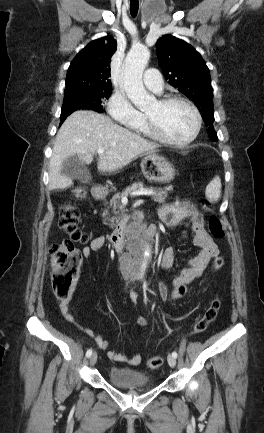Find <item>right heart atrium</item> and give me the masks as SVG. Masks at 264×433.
I'll return each mask as SVG.
<instances>
[{"label": "right heart atrium", "instance_id": "d8ad5b80", "mask_svg": "<svg viewBox=\"0 0 264 433\" xmlns=\"http://www.w3.org/2000/svg\"><path fill=\"white\" fill-rule=\"evenodd\" d=\"M108 114L118 123L134 127L140 124L144 117L121 92H114L107 102Z\"/></svg>", "mask_w": 264, "mask_h": 433}]
</instances>
